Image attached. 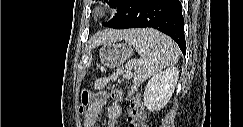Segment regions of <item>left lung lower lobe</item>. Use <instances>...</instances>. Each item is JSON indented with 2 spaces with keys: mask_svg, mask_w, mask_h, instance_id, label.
Here are the masks:
<instances>
[{
  "mask_svg": "<svg viewBox=\"0 0 243 127\" xmlns=\"http://www.w3.org/2000/svg\"><path fill=\"white\" fill-rule=\"evenodd\" d=\"M117 11L105 26L116 29L152 27L169 35L177 42L182 53H186L179 0H125Z\"/></svg>",
  "mask_w": 243,
  "mask_h": 127,
  "instance_id": "1",
  "label": "left lung lower lobe"
}]
</instances>
